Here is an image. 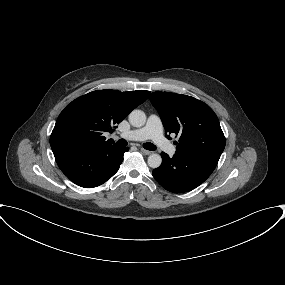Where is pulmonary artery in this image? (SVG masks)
<instances>
[{"mask_svg":"<svg viewBox=\"0 0 285 285\" xmlns=\"http://www.w3.org/2000/svg\"><path fill=\"white\" fill-rule=\"evenodd\" d=\"M121 138L131 141H144L152 139L157 146L169 153L175 154V148L163 136V126L157 115H150L144 127L130 130L120 134Z\"/></svg>","mask_w":285,"mask_h":285,"instance_id":"e3ab8cb5","label":"pulmonary artery"}]
</instances>
